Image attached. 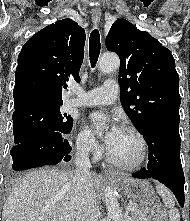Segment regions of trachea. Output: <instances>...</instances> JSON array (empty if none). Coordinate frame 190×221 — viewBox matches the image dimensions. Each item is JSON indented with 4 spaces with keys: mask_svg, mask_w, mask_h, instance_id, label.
<instances>
[{
    "mask_svg": "<svg viewBox=\"0 0 190 221\" xmlns=\"http://www.w3.org/2000/svg\"><path fill=\"white\" fill-rule=\"evenodd\" d=\"M101 50V43H100V34L97 29H94L89 38V56H90V63L91 67L94 68Z\"/></svg>",
    "mask_w": 190,
    "mask_h": 221,
    "instance_id": "trachea-1",
    "label": "trachea"
}]
</instances>
